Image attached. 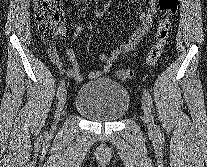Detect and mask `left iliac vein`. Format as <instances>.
Wrapping results in <instances>:
<instances>
[{
  "instance_id": "4c4485c4",
  "label": "left iliac vein",
  "mask_w": 207,
  "mask_h": 167,
  "mask_svg": "<svg viewBox=\"0 0 207 167\" xmlns=\"http://www.w3.org/2000/svg\"><path fill=\"white\" fill-rule=\"evenodd\" d=\"M142 109L144 113L145 122L147 124L148 132L151 135H154L156 133L154 119L149 104L145 98L142 99Z\"/></svg>"
}]
</instances>
